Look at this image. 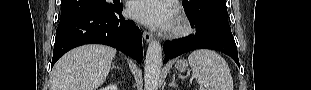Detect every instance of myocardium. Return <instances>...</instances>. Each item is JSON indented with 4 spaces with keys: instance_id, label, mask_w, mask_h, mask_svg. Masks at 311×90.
I'll list each match as a JSON object with an SVG mask.
<instances>
[{
    "instance_id": "f54148a6",
    "label": "myocardium",
    "mask_w": 311,
    "mask_h": 90,
    "mask_svg": "<svg viewBox=\"0 0 311 90\" xmlns=\"http://www.w3.org/2000/svg\"><path fill=\"white\" fill-rule=\"evenodd\" d=\"M192 32V25L188 18L182 13H176L173 24L169 29L172 37H184Z\"/></svg>"
}]
</instances>
